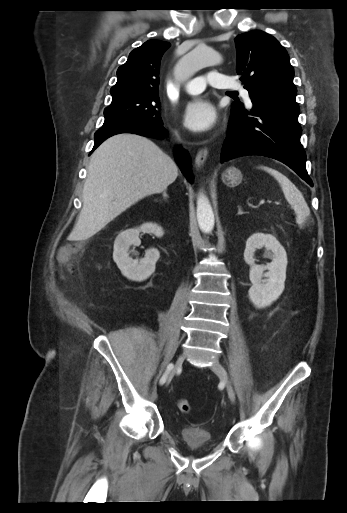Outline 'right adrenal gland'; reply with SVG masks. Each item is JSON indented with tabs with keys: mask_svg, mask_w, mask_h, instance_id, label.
<instances>
[{
	"mask_svg": "<svg viewBox=\"0 0 347 513\" xmlns=\"http://www.w3.org/2000/svg\"><path fill=\"white\" fill-rule=\"evenodd\" d=\"M167 198H168L167 190H164L163 191V200H166Z\"/></svg>",
	"mask_w": 347,
	"mask_h": 513,
	"instance_id": "1",
	"label": "right adrenal gland"
}]
</instances>
